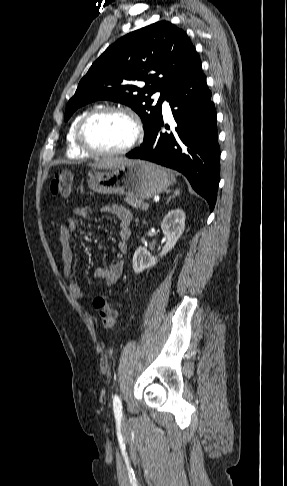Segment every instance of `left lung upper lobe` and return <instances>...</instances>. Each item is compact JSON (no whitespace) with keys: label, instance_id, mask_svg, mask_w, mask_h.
Instances as JSON below:
<instances>
[{"label":"left lung upper lobe","instance_id":"obj_1","mask_svg":"<svg viewBox=\"0 0 287 486\" xmlns=\"http://www.w3.org/2000/svg\"><path fill=\"white\" fill-rule=\"evenodd\" d=\"M186 33L159 21L118 39L92 64L69 100L65 121L79 107L95 100H112L131 107L145 133L161 116L168 88L199 61ZM144 81L143 88L135 85ZM160 91L155 103L151 96Z\"/></svg>","mask_w":287,"mask_h":486}]
</instances>
